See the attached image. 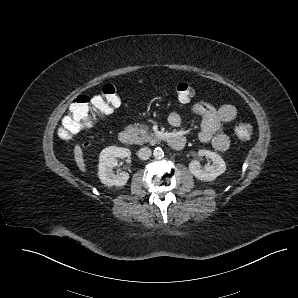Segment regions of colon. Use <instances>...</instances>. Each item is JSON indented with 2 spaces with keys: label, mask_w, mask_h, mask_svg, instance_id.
I'll return each mask as SVG.
<instances>
[{
  "label": "colon",
  "mask_w": 298,
  "mask_h": 298,
  "mask_svg": "<svg viewBox=\"0 0 298 298\" xmlns=\"http://www.w3.org/2000/svg\"><path fill=\"white\" fill-rule=\"evenodd\" d=\"M199 93L191 84L182 82L176 86V94L181 102H189ZM120 104L117 87L113 83L105 84L100 93L94 96L79 95L70 105L59 130L62 138L68 139L78 132L91 127L99 116L111 114ZM234 131L242 141H250L253 127L249 122L239 120Z\"/></svg>",
  "instance_id": "obj_1"
}]
</instances>
